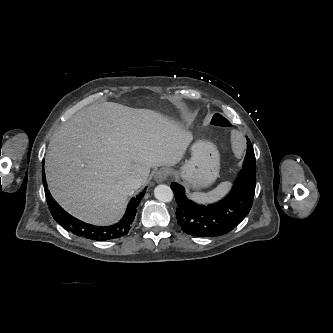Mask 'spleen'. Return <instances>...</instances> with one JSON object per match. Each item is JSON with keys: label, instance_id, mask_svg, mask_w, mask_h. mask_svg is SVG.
<instances>
[{"label": "spleen", "instance_id": "3e777b00", "mask_svg": "<svg viewBox=\"0 0 333 333\" xmlns=\"http://www.w3.org/2000/svg\"><path fill=\"white\" fill-rule=\"evenodd\" d=\"M231 183L229 181H225L220 183L215 189L210 192L202 193V192H194L190 194V198L198 203H213L220 200L224 197L230 190Z\"/></svg>", "mask_w": 333, "mask_h": 333}]
</instances>
